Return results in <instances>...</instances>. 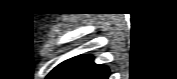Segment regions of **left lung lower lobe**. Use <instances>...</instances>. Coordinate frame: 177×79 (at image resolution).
Here are the masks:
<instances>
[{
    "mask_svg": "<svg viewBox=\"0 0 177 79\" xmlns=\"http://www.w3.org/2000/svg\"><path fill=\"white\" fill-rule=\"evenodd\" d=\"M109 70L93 63L89 55H81L60 64L48 79H107Z\"/></svg>",
    "mask_w": 177,
    "mask_h": 79,
    "instance_id": "obj_1",
    "label": "left lung lower lobe"
}]
</instances>
